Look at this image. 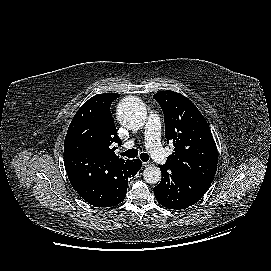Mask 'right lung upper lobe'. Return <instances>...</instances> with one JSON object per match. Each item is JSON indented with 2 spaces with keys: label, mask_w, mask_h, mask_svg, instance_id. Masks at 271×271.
Listing matches in <instances>:
<instances>
[{
  "label": "right lung upper lobe",
  "mask_w": 271,
  "mask_h": 271,
  "mask_svg": "<svg viewBox=\"0 0 271 271\" xmlns=\"http://www.w3.org/2000/svg\"><path fill=\"white\" fill-rule=\"evenodd\" d=\"M120 95L98 94L86 101L73 117L64 141V154L81 152L111 162H125L114 153L113 143L122 144L110 112ZM128 161V160H126Z\"/></svg>",
  "instance_id": "cb5924a9"
}]
</instances>
